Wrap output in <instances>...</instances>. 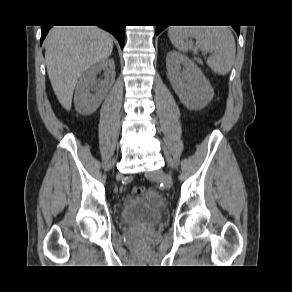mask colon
Here are the masks:
<instances>
[{"label":"colon","instance_id":"obj_1","mask_svg":"<svg viewBox=\"0 0 292 292\" xmlns=\"http://www.w3.org/2000/svg\"><path fill=\"white\" fill-rule=\"evenodd\" d=\"M145 192V189H144V187H142V186H135L134 188H133V193L135 194V195H141V194H143Z\"/></svg>","mask_w":292,"mask_h":292}]
</instances>
